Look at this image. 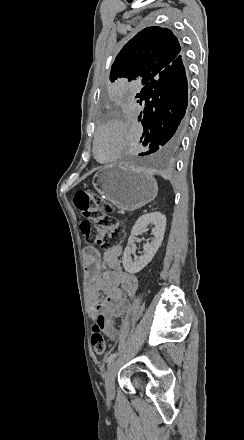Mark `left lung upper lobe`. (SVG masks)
<instances>
[{"label": "left lung upper lobe", "mask_w": 244, "mask_h": 440, "mask_svg": "<svg viewBox=\"0 0 244 440\" xmlns=\"http://www.w3.org/2000/svg\"><path fill=\"white\" fill-rule=\"evenodd\" d=\"M181 46L167 28L147 27L133 37L117 55L110 82L139 80L149 83L163 70L180 61ZM182 57V56H181Z\"/></svg>", "instance_id": "obj_1"}]
</instances>
